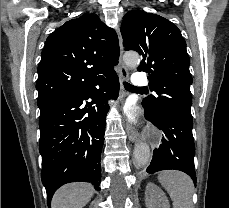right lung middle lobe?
Masks as SVG:
<instances>
[{
    "label": "right lung middle lobe",
    "mask_w": 229,
    "mask_h": 208,
    "mask_svg": "<svg viewBox=\"0 0 229 208\" xmlns=\"http://www.w3.org/2000/svg\"><path fill=\"white\" fill-rule=\"evenodd\" d=\"M64 101H51V102H46L42 104H38L40 108V117L46 115L50 111H52L56 106H58L60 103Z\"/></svg>",
    "instance_id": "dd1d6c3e"
}]
</instances>
